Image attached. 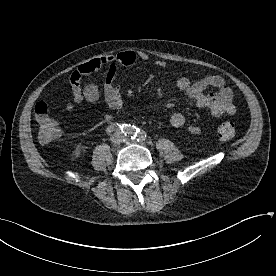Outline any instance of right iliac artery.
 <instances>
[{
    "label": "right iliac artery",
    "mask_w": 276,
    "mask_h": 276,
    "mask_svg": "<svg viewBox=\"0 0 276 276\" xmlns=\"http://www.w3.org/2000/svg\"><path fill=\"white\" fill-rule=\"evenodd\" d=\"M119 129L124 133V135L130 137L131 139L136 137L137 133V128L133 125L131 126L130 124H116ZM114 130V125H110L107 127L106 131L107 133H111Z\"/></svg>",
    "instance_id": "82829eb1"
}]
</instances>
